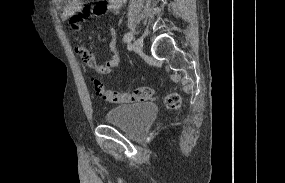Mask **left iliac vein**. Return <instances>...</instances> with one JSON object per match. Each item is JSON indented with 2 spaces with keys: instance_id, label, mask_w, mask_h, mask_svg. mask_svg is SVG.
Listing matches in <instances>:
<instances>
[{
  "instance_id": "left-iliac-vein-1",
  "label": "left iliac vein",
  "mask_w": 285,
  "mask_h": 183,
  "mask_svg": "<svg viewBox=\"0 0 285 183\" xmlns=\"http://www.w3.org/2000/svg\"><path fill=\"white\" fill-rule=\"evenodd\" d=\"M143 48V40L141 38H138L133 43V50L137 53H141Z\"/></svg>"
}]
</instances>
